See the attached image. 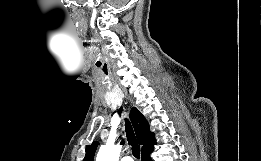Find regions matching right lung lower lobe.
Masks as SVG:
<instances>
[{
	"label": "right lung lower lobe",
	"mask_w": 261,
	"mask_h": 161,
	"mask_svg": "<svg viewBox=\"0 0 261 161\" xmlns=\"http://www.w3.org/2000/svg\"><path fill=\"white\" fill-rule=\"evenodd\" d=\"M152 151L142 154V157H141L142 161H152L151 158H150V154H151Z\"/></svg>",
	"instance_id": "1"
}]
</instances>
